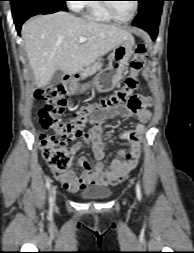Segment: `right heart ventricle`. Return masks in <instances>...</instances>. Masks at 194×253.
<instances>
[{"instance_id": "1", "label": "right heart ventricle", "mask_w": 194, "mask_h": 253, "mask_svg": "<svg viewBox=\"0 0 194 253\" xmlns=\"http://www.w3.org/2000/svg\"><path fill=\"white\" fill-rule=\"evenodd\" d=\"M84 15L90 20L102 23H110L113 19L108 15L99 1H88L84 4Z\"/></svg>"}]
</instances>
